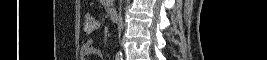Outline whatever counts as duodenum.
<instances>
[{
    "mask_svg": "<svg viewBox=\"0 0 267 60\" xmlns=\"http://www.w3.org/2000/svg\"><path fill=\"white\" fill-rule=\"evenodd\" d=\"M108 13H109V16H110L112 21H117V19H118V9L117 8H111Z\"/></svg>",
    "mask_w": 267,
    "mask_h": 60,
    "instance_id": "obj_1",
    "label": "duodenum"
}]
</instances>
